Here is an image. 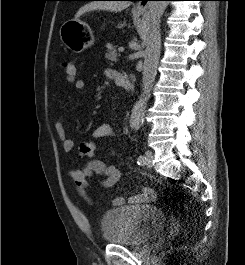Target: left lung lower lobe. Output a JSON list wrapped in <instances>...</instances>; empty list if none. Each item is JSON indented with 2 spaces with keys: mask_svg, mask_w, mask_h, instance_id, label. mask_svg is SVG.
<instances>
[{
  "mask_svg": "<svg viewBox=\"0 0 245 265\" xmlns=\"http://www.w3.org/2000/svg\"><path fill=\"white\" fill-rule=\"evenodd\" d=\"M128 1H139V0H128Z\"/></svg>",
  "mask_w": 245,
  "mask_h": 265,
  "instance_id": "1",
  "label": "left lung lower lobe"
}]
</instances>
